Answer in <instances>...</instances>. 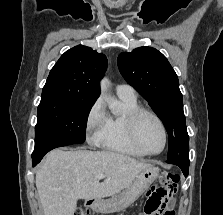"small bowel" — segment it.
Returning a JSON list of instances; mask_svg holds the SVG:
<instances>
[{
  "label": "small bowel",
  "instance_id": "small-bowel-1",
  "mask_svg": "<svg viewBox=\"0 0 223 215\" xmlns=\"http://www.w3.org/2000/svg\"><path fill=\"white\" fill-rule=\"evenodd\" d=\"M175 190H169L166 186H158L152 188L148 193V198L145 204V213L143 215H156L149 210L151 205L164 206L163 215H174L172 196Z\"/></svg>",
  "mask_w": 223,
  "mask_h": 215
}]
</instances>
